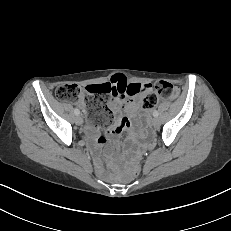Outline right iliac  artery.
I'll return each mask as SVG.
<instances>
[{"label":"right iliac artery","instance_id":"right-iliac-artery-1","mask_svg":"<svg viewBox=\"0 0 231 231\" xmlns=\"http://www.w3.org/2000/svg\"><path fill=\"white\" fill-rule=\"evenodd\" d=\"M74 113H75V115H79V114H80L79 109L75 108V109H74Z\"/></svg>","mask_w":231,"mask_h":231}]
</instances>
